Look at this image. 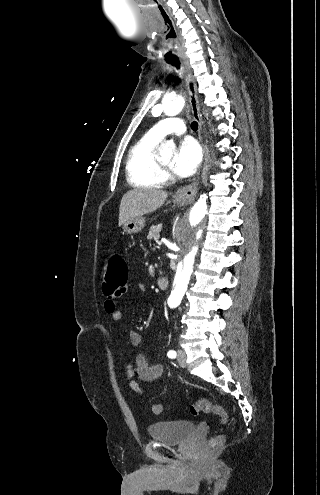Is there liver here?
Instances as JSON below:
<instances>
[{
    "label": "liver",
    "mask_w": 320,
    "mask_h": 495,
    "mask_svg": "<svg viewBox=\"0 0 320 495\" xmlns=\"http://www.w3.org/2000/svg\"><path fill=\"white\" fill-rule=\"evenodd\" d=\"M168 193L156 189H134L125 193L119 208V226L129 219L149 214L160 208Z\"/></svg>",
    "instance_id": "liver-1"
}]
</instances>
